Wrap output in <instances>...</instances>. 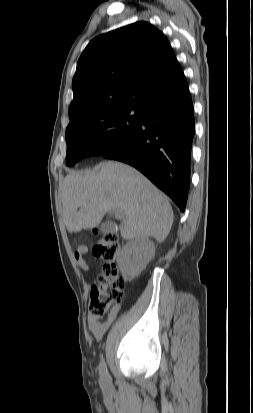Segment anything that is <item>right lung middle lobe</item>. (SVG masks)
<instances>
[{"label":"right lung middle lobe","mask_w":253,"mask_h":413,"mask_svg":"<svg viewBox=\"0 0 253 413\" xmlns=\"http://www.w3.org/2000/svg\"><path fill=\"white\" fill-rule=\"evenodd\" d=\"M143 109L114 106L100 109L70 121L66 129V164L108 151L140 127Z\"/></svg>","instance_id":"dd1d6c3e"}]
</instances>
